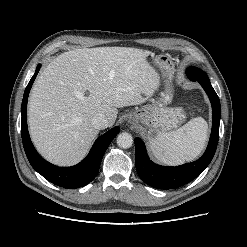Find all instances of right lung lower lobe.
Masks as SVG:
<instances>
[{"mask_svg": "<svg viewBox=\"0 0 247 247\" xmlns=\"http://www.w3.org/2000/svg\"><path fill=\"white\" fill-rule=\"evenodd\" d=\"M41 65L29 81L23 96L21 106V135L26 156L32 167L48 181L65 188H79L90 183L97 175L101 160L108 146L114 137L119 133L120 128L114 127L107 133L100 136L94 143L87 157L79 164L72 167H58L45 161L35 150L28 133L26 107L31 86L39 72Z\"/></svg>", "mask_w": 247, "mask_h": 247, "instance_id": "obj_1", "label": "right lung lower lobe"}]
</instances>
